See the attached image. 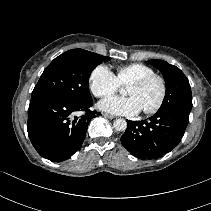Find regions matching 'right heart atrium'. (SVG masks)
I'll use <instances>...</instances> for the list:
<instances>
[{
    "instance_id": "d8ad5b80",
    "label": "right heart atrium",
    "mask_w": 211,
    "mask_h": 211,
    "mask_svg": "<svg viewBox=\"0 0 211 211\" xmlns=\"http://www.w3.org/2000/svg\"><path fill=\"white\" fill-rule=\"evenodd\" d=\"M88 82L91 93L98 98L114 94L121 87L116 75L103 64L92 69Z\"/></svg>"
}]
</instances>
